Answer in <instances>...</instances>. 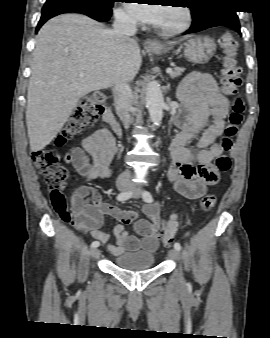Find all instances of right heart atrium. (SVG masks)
Returning <instances> with one entry per match:
<instances>
[{"label": "right heart atrium", "instance_id": "right-heart-atrium-1", "mask_svg": "<svg viewBox=\"0 0 270 338\" xmlns=\"http://www.w3.org/2000/svg\"><path fill=\"white\" fill-rule=\"evenodd\" d=\"M117 17L120 22L125 24L134 25L136 23V20L133 17V15L124 8H120L117 11Z\"/></svg>", "mask_w": 270, "mask_h": 338}]
</instances>
